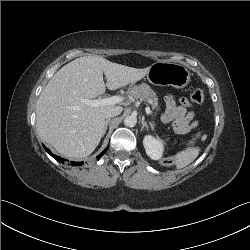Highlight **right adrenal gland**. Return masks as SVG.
Wrapping results in <instances>:
<instances>
[{"label":"right adrenal gland","mask_w":250,"mask_h":250,"mask_svg":"<svg viewBox=\"0 0 250 250\" xmlns=\"http://www.w3.org/2000/svg\"><path fill=\"white\" fill-rule=\"evenodd\" d=\"M109 121H110V118L106 120L105 122V127H104V133H103V136L105 135L106 133V130H107V127H108V124H109Z\"/></svg>","instance_id":"1"}]
</instances>
